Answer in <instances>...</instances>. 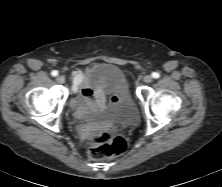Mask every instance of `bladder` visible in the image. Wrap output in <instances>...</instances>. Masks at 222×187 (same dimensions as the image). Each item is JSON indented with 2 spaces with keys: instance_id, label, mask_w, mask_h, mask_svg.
Listing matches in <instances>:
<instances>
[{
  "instance_id": "obj_1",
  "label": "bladder",
  "mask_w": 222,
  "mask_h": 187,
  "mask_svg": "<svg viewBox=\"0 0 222 187\" xmlns=\"http://www.w3.org/2000/svg\"><path fill=\"white\" fill-rule=\"evenodd\" d=\"M85 80L92 88L113 93V98L99 108H90L85 105L81 95L73 97L69 112L74 121L86 123L102 120L115 126H130L138 122L139 113L129 82L117 65L95 64L86 72Z\"/></svg>"
}]
</instances>
